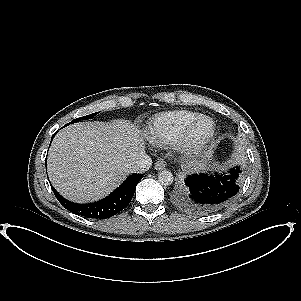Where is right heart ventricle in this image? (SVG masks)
<instances>
[{
    "instance_id": "1",
    "label": "right heart ventricle",
    "mask_w": 301,
    "mask_h": 301,
    "mask_svg": "<svg viewBox=\"0 0 301 301\" xmlns=\"http://www.w3.org/2000/svg\"><path fill=\"white\" fill-rule=\"evenodd\" d=\"M199 116V113L189 110H172L158 113L149 122L146 137L155 145H170Z\"/></svg>"
}]
</instances>
